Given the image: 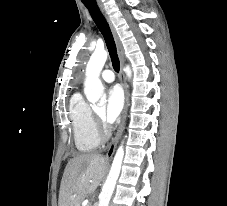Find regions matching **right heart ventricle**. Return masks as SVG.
Instances as JSON below:
<instances>
[{"mask_svg": "<svg viewBox=\"0 0 227 206\" xmlns=\"http://www.w3.org/2000/svg\"><path fill=\"white\" fill-rule=\"evenodd\" d=\"M69 117L76 148L80 152H90L96 149L100 143V136L94 114L80 93H75L70 99Z\"/></svg>", "mask_w": 227, "mask_h": 206, "instance_id": "e07e8e85", "label": "right heart ventricle"}]
</instances>
